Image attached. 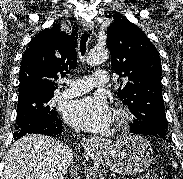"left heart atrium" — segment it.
<instances>
[{
  "mask_svg": "<svg viewBox=\"0 0 183 179\" xmlns=\"http://www.w3.org/2000/svg\"><path fill=\"white\" fill-rule=\"evenodd\" d=\"M66 118L83 130L100 132L109 126L112 112L103 96H85L70 103Z\"/></svg>",
  "mask_w": 183,
  "mask_h": 179,
  "instance_id": "obj_1",
  "label": "left heart atrium"
}]
</instances>
